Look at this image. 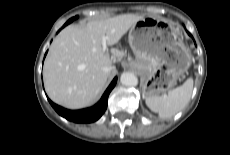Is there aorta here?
Here are the masks:
<instances>
[{
	"label": "aorta",
	"mask_w": 230,
	"mask_h": 155,
	"mask_svg": "<svg viewBox=\"0 0 230 155\" xmlns=\"http://www.w3.org/2000/svg\"><path fill=\"white\" fill-rule=\"evenodd\" d=\"M122 85L127 87H135L138 85V78L131 72H123L120 77Z\"/></svg>",
	"instance_id": "762f6f07"
}]
</instances>
